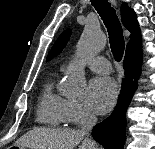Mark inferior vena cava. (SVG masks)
<instances>
[{
	"instance_id": "1",
	"label": "inferior vena cava",
	"mask_w": 155,
	"mask_h": 149,
	"mask_svg": "<svg viewBox=\"0 0 155 149\" xmlns=\"http://www.w3.org/2000/svg\"><path fill=\"white\" fill-rule=\"evenodd\" d=\"M97 122V118L95 115L93 114H88L84 120V122L82 123V128H81V132L87 136L86 141L87 143L93 148L96 149V144L95 142L89 137L90 132L93 128V126L96 124Z\"/></svg>"
}]
</instances>
